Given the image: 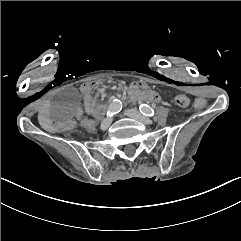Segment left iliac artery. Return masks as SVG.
I'll return each mask as SVG.
<instances>
[{"mask_svg": "<svg viewBox=\"0 0 241 241\" xmlns=\"http://www.w3.org/2000/svg\"><path fill=\"white\" fill-rule=\"evenodd\" d=\"M139 110L142 114H144L146 116H154L155 115L154 110L147 104H141L139 106Z\"/></svg>", "mask_w": 241, "mask_h": 241, "instance_id": "1", "label": "left iliac artery"}]
</instances>
